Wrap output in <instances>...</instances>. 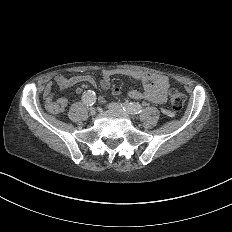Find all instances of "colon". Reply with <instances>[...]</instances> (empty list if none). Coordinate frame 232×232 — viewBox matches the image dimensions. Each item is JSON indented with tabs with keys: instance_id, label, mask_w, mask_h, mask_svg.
<instances>
[{
	"instance_id": "5ec220e1",
	"label": "colon",
	"mask_w": 232,
	"mask_h": 232,
	"mask_svg": "<svg viewBox=\"0 0 232 232\" xmlns=\"http://www.w3.org/2000/svg\"><path fill=\"white\" fill-rule=\"evenodd\" d=\"M166 97L170 100L166 106L175 107L174 113H179V108L185 107V104L182 103L184 94H180L176 88H170L166 92ZM46 104L51 113H67V105H64L63 98L60 96H47Z\"/></svg>"
}]
</instances>
